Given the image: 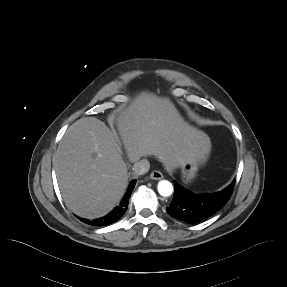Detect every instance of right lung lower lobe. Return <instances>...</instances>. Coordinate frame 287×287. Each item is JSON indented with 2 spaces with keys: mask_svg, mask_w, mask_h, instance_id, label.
<instances>
[{
  "mask_svg": "<svg viewBox=\"0 0 287 287\" xmlns=\"http://www.w3.org/2000/svg\"><path fill=\"white\" fill-rule=\"evenodd\" d=\"M135 184H136V180H132L130 182L129 187H128L120 205L117 206L116 208H114L106 216L98 218V219H94V220H88V219H83V218H79V219L88 225L98 226V227L106 226V225H109V224H112V223L118 221L124 215V213L127 210L128 203H129L128 201H129L131 193L135 187Z\"/></svg>",
  "mask_w": 287,
  "mask_h": 287,
  "instance_id": "98d812e1",
  "label": "right lung lower lobe"
}]
</instances>
